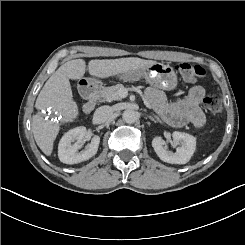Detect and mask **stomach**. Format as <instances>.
<instances>
[{"label":"stomach","instance_id":"1","mask_svg":"<svg viewBox=\"0 0 245 245\" xmlns=\"http://www.w3.org/2000/svg\"><path fill=\"white\" fill-rule=\"evenodd\" d=\"M120 79L127 82L138 81L141 77L156 88L163 90H173L177 86V75L169 64L154 63L136 70L124 72L117 75ZM101 82L95 78H87L79 81L78 89L92 91Z\"/></svg>","mask_w":245,"mask_h":245}]
</instances>
